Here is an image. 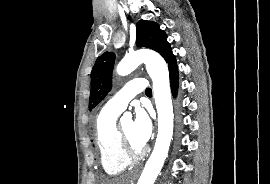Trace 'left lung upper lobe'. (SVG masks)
I'll list each match as a JSON object with an SVG mask.
<instances>
[{"label":"left lung upper lobe","instance_id":"left-lung-upper-lobe-1","mask_svg":"<svg viewBox=\"0 0 270 184\" xmlns=\"http://www.w3.org/2000/svg\"><path fill=\"white\" fill-rule=\"evenodd\" d=\"M136 27V45L157 51L167 62L173 54L167 42V35L160 26L152 21L140 20ZM114 61L115 55L110 52H105L97 58L91 71L89 110L103 100L110 91Z\"/></svg>","mask_w":270,"mask_h":184}]
</instances>
